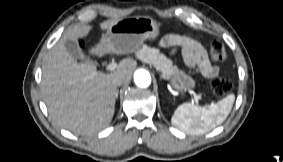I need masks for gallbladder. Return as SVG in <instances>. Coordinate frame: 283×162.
I'll return each instance as SVG.
<instances>
[{"label":"gallbladder","mask_w":283,"mask_h":162,"mask_svg":"<svg viewBox=\"0 0 283 162\" xmlns=\"http://www.w3.org/2000/svg\"><path fill=\"white\" fill-rule=\"evenodd\" d=\"M65 48L74 58L80 60L84 59V55L75 39H67L65 42Z\"/></svg>","instance_id":"bac80fb5"}]
</instances>
